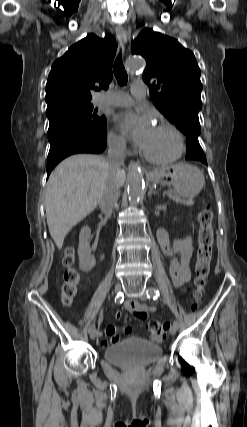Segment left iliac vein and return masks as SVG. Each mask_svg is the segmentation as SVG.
Masks as SVG:
<instances>
[{
  "instance_id": "obj_1",
  "label": "left iliac vein",
  "mask_w": 247,
  "mask_h": 427,
  "mask_svg": "<svg viewBox=\"0 0 247 427\" xmlns=\"http://www.w3.org/2000/svg\"><path fill=\"white\" fill-rule=\"evenodd\" d=\"M139 298L140 299H142V300H146V294H144V293H142V294H140L139 295ZM177 329H178V327L176 326V325H172L171 327H170V334L171 335H175L176 334V332H177Z\"/></svg>"
}]
</instances>
